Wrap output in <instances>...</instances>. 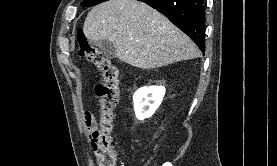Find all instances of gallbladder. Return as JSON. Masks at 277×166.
Returning <instances> with one entry per match:
<instances>
[{"instance_id":"gallbladder-1","label":"gallbladder","mask_w":277,"mask_h":166,"mask_svg":"<svg viewBox=\"0 0 277 166\" xmlns=\"http://www.w3.org/2000/svg\"><path fill=\"white\" fill-rule=\"evenodd\" d=\"M92 45L97 46L103 56L113 59L116 57V50L114 44L109 40L90 41Z\"/></svg>"}]
</instances>
